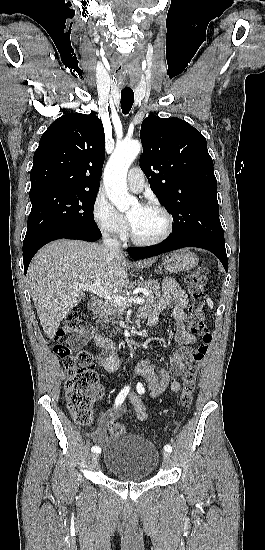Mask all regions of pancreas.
I'll return each mask as SVG.
<instances>
[{
  "instance_id": "obj_1",
  "label": "pancreas",
  "mask_w": 265,
  "mask_h": 550,
  "mask_svg": "<svg viewBox=\"0 0 265 550\" xmlns=\"http://www.w3.org/2000/svg\"><path fill=\"white\" fill-rule=\"evenodd\" d=\"M135 286L144 288L148 291V295L144 296L147 304H152L160 297V284L157 281L148 280V281H135L132 283L128 289H126L123 294L127 293L128 290L133 289ZM124 313V307L117 305L112 300H105L98 317L105 323H116L117 319L121 318Z\"/></svg>"
}]
</instances>
